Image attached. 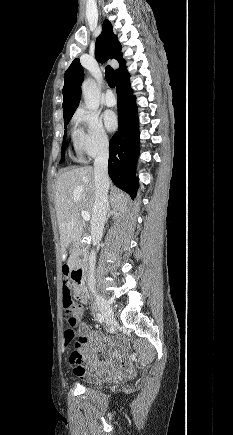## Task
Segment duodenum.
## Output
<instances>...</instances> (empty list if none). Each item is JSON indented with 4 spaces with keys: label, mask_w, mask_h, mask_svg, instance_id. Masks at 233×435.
Listing matches in <instances>:
<instances>
[{
    "label": "duodenum",
    "mask_w": 233,
    "mask_h": 435,
    "mask_svg": "<svg viewBox=\"0 0 233 435\" xmlns=\"http://www.w3.org/2000/svg\"><path fill=\"white\" fill-rule=\"evenodd\" d=\"M87 251H88L87 244L80 243L76 249H72L67 253L68 263L71 264L77 255L85 254ZM73 272L75 275L74 297L78 301L85 303L87 301V298L85 293L84 279L87 273V269L85 265H79L73 269Z\"/></svg>",
    "instance_id": "410a0bca"
}]
</instances>
